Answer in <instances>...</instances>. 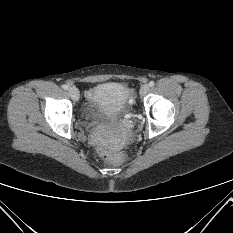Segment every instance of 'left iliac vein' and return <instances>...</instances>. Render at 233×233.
<instances>
[{"mask_svg":"<svg viewBox=\"0 0 233 233\" xmlns=\"http://www.w3.org/2000/svg\"><path fill=\"white\" fill-rule=\"evenodd\" d=\"M149 85L148 84H144L142 87H141V90H140V93L141 95H145L148 93L149 91Z\"/></svg>","mask_w":233,"mask_h":233,"instance_id":"left-iliac-vein-1","label":"left iliac vein"}]
</instances>
